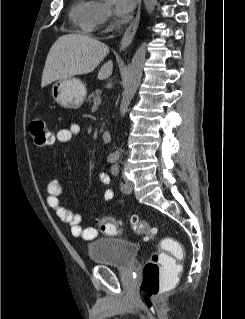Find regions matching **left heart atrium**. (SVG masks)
<instances>
[{"mask_svg": "<svg viewBox=\"0 0 245 319\" xmlns=\"http://www.w3.org/2000/svg\"><path fill=\"white\" fill-rule=\"evenodd\" d=\"M137 0H115V10L118 16L126 17L135 7Z\"/></svg>", "mask_w": 245, "mask_h": 319, "instance_id": "left-heart-atrium-1", "label": "left heart atrium"}]
</instances>
